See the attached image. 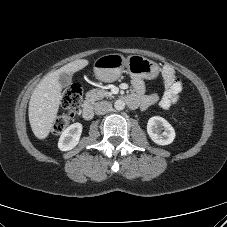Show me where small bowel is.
<instances>
[{
    "label": "small bowel",
    "instance_id": "small-bowel-1",
    "mask_svg": "<svg viewBox=\"0 0 227 227\" xmlns=\"http://www.w3.org/2000/svg\"><path fill=\"white\" fill-rule=\"evenodd\" d=\"M162 75L165 83V91L161 97L156 93H147L142 80L134 79L132 81L134 93L130 96L135 99L137 103L136 107L147 109L151 105L158 103L162 109H168L178 102L182 91V84L176 79L174 70L166 66L162 71Z\"/></svg>",
    "mask_w": 227,
    "mask_h": 227
}]
</instances>
